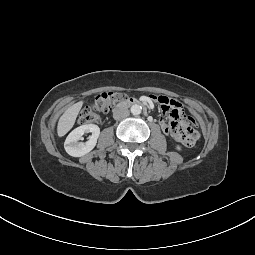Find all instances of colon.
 Segmentation results:
<instances>
[{
    "label": "colon",
    "instance_id": "1",
    "mask_svg": "<svg viewBox=\"0 0 255 255\" xmlns=\"http://www.w3.org/2000/svg\"><path fill=\"white\" fill-rule=\"evenodd\" d=\"M124 98L125 95L117 91H108L100 93L99 95L96 96L94 102L90 106L85 107L81 111L78 120L79 123L92 124L98 122L99 121L98 113L108 111L113 104L121 102L122 100H124ZM163 98H165V96L154 97V99L160 104V106ZM191 120L194 122L193 118H191Z\"/></svg>",
    "mask_w": 255,
    "mask_h": 255
}]
</instances>
